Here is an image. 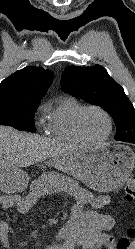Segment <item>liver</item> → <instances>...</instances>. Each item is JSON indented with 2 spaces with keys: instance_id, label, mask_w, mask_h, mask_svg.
I'll list each match as a JSON object with an SVG mask.
<instances>
[{
  "instance_id": "obj_1",
  "label": "liver",
  "mask_w": 135,
  "mask_h": 249,
  "mask_svg": "<svg viewBox=\"0 0 135 249\" xmlns=\"http://www.w3.org/2000/svg\"><path fill=\"white\" fill-rule=\"evenodd\" d=\"M74 146L0 126V168L27 167L75 150Z\"/></svg>"
}]
</instances>
